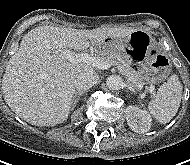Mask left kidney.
<instances>
[{"label": "left kidney", "instance_id": "5707ae66", "mask_svg": "<svg viewBox=\"0 0 190 165\" xmlns=\"http://www.w3.org/2000/svg\"><path fill=\"white\" fill-rule=\"evenodd\" d=\"M125 115L127 124L134 132L145 133L150 130L152 118L146 110L128 106Z\"/></svg>", "mask_w": 190, "mask_h": 165}]
</instances>
